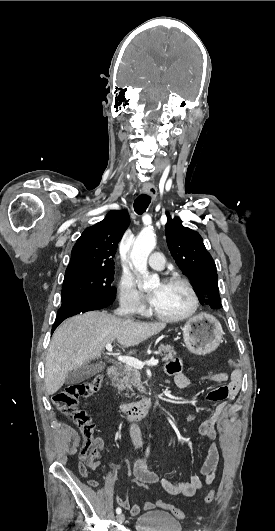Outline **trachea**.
I'll use <instances>...</instances> for the list:
<instances>
[{
    "mask_svg": "<svg viewBox=\"0 0 275 531\" xmlns=\"http://www.w3.org/2000/svg\"><path fill=\"white\" fill-rule=\"evenodd\" d=\"M151 202V196L147 194H141L134 201V210L137 214H142L146 211Z\"/></svg>",
    "mask_w": 275,
    "mask_h": 531,
    "instance_id": "1",
    "label": "trachea"
}]
</instances>
